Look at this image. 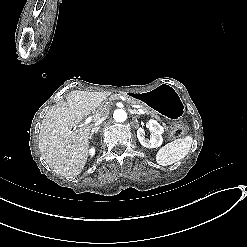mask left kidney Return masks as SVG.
<instances>
[{"mask_svg": "<svg viewBox=\"0 0 247 247\" xmlns=\"http://www.w3.org/2000/svg\"><path fill=\"white\" fill-rule=\"evenodd\" d=\"M147 125L151 132V138L146 139L144 136V130L139 128L137 130V138L140 144L146 148H157L161 146L163 142L162 134L164 132V128L153 119L149 120Z\"/></svg>", "mask_w": 247, "mask_h": 247, "instance_id": "left-kidney-1", "label": "left kidney"}]
</instances>
